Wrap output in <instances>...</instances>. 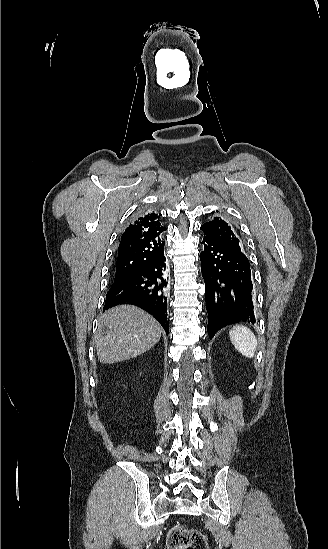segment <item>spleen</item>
I'll use <instances>...</instances> for the list:
<instances>
[{
	"instance_id": "obj_1",
	"label": "spleen",
	"mask_w": 328,
	"mask_h": 549,
	"mask_svg": "<svg viewBox=\"0 0 328 549\" xmlns=\"http://www.w3.org/2000/svg\"><path fill=\"white\" fill-rule=\"evenodd\" d=\"M229 337L232 345H234L235 349H237L241 355L248 357V359L254 357L257 339L248 327H243V325L233 327L229 333Z\"/></svg>"
}]
</instances>
